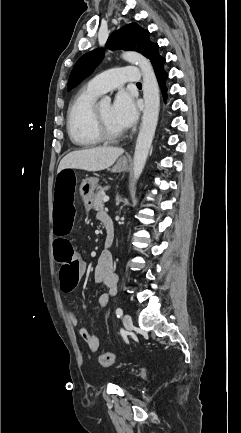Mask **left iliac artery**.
<instances>
[{
	"mask_svg": "<svg viewBox=\"0 0 241 433\" xmlns=\"http://www.w3.org/2000/svg\"><path fill=\"white\" fill-rule=\"evenodd\" d=\"M116 315L118 318L122 317L123 315V310L121 308H117L116 309Z\"/></svg>",
	"mask_w": 241,
	"mask_h": 433,
	"instance_id": "left-iliac-artery-1",
	"label": "left iliac artery"
}]
</instances>
